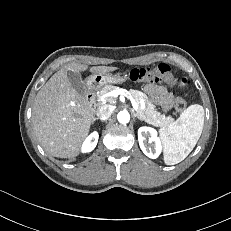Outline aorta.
<instances>
[{
  "label": "aorta",
  "instance_id": "1",
  "mask_svg": "<svg viewBox=\"0 0 231 231\" xmlns=\"http://www.w3.org/2000/svg\"><path fill=\"white\" fill-rule=\"evenodd\" d=\"M117 119L121 124H126L130 121V114L127 111H120L117 115Z\"/></svg>",
  "mask_w": 231,
  "mask_h": 231
}]
</instances>
